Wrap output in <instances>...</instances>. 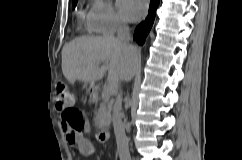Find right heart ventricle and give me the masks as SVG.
<instances>
[{"label":"right heart ventricle","instance_id":"right-heart-ventricle-1","mask_svg":"<svg viewBox=\"0 0 242 160\" xmlns=\"http://www.w3.org/2000/svg\"><path fill=\"white\" fill-rule=\"evenodd\" d=\"M78 22L80 25L86 27L89 32H95L90 11H80L78 14Z\"/></svg>","mask_w":242,"mask_h":160}]
</instances>
